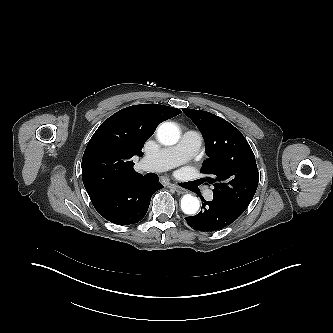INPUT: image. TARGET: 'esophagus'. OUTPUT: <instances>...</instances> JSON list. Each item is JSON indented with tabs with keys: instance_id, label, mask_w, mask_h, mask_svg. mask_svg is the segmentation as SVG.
I'll list each match as a JSON object with an SVG mask.
<instances>
[{
	"instance_id": "34e87169",
	"label": "esophagus",
	"mask_w": 333,
	"mask_h": 333,
	"mask_svg": "<svg viewBox=\"0 0 333 333\" xmlns=\"http://www.w3.org/2000/svg\"><path fill=\"white\" fill-rule=\"evenodd\" d=\"M170 188L174 189L177 193H180V194H184L186 193V190L177 186V185H174V184H170L169 185Z\"/></svg>"
}]
</instances>
